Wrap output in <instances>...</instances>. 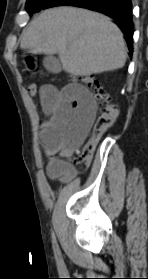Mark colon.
<instances>
[{"instance_id": "5ec220e1", "label": "colon", "mask_w": 148, "mask_h": 279, "mask_svg": "<svg viewBox=\"0 0 148 279\" xmlns=\"http://www.w3.org/2000/svg\"><path fill=\"white\" fill-rule=\"evenodd\" d=\"M79 80L84 85L94 88L95 98L99 104V114L94 123L91 138L74 158V163L77 166L87 167L91 162L98 140L117 121L118 111L111 102L108 93L95 76H84L80 77ZM39 91L40 89L37 84L33 83L28 86V92L32 96L38 95Z\"/></svg>"}]
</instances>
